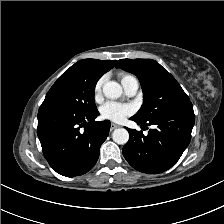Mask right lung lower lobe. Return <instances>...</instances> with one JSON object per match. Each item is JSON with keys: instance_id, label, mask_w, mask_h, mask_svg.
<instances>
[{"instance_id": "obj_1", "label": "right lung lower lobe", "mask_w": 224, "mask_h": 224, "mask_svg": "<svg viewBox=\"0 0 224 224\" xmlns=\"http://www.w3.org/2000/svg\"><path fill=\"white\" fill-rule=\"evenodd\" d=\"M98 115V111L81 113L55 103H42L37 134L53 170L74 177L93 168L110 129V121H94Z\"/></svg>"}]
</instances>
